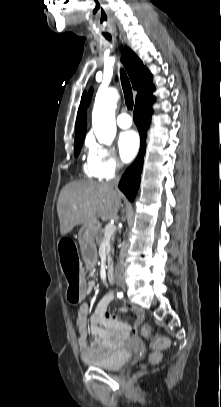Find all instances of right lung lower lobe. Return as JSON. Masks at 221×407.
<instances>
[{
    "instance_id": "98d812e1",
    "label": "right lung lower lobe",
    "mask_w": 221,
    "mask_h": 407,
    "mask_svg": "<svg viewBox=\"0 0 221 407\" xmlns=\"http://www.w3.org/2000/svg\"><path fill=\"white\" fill-rule=\"evenodd\" d=\"M154 101L155 98L151 95L140 104L135 105L134 121L140 133V151L133 164L123 174L119 183L120 189L125 193L130 201L134 200L140 185V178L143 167V156L146 150L147 129L150 125L151 115L153 112L152 104L154 103Z\"/></svg>"
}]
</instances>
